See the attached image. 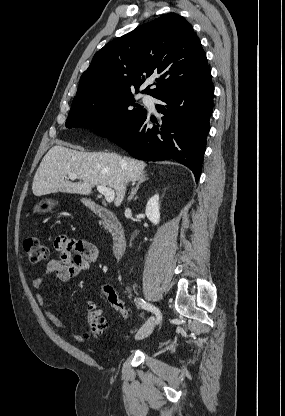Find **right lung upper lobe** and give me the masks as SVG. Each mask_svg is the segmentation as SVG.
Segmentation results:
<instances>
[{
  "mask_svg": "<svg viewBox=\"0 0 285 416\" xmlns=\"http://www.w3.org/2000/svg\"><path fill=\"white\" fill-rule=\"evenodd\" d=\"M206 54L192 26L167 13L114 39L93 57L82 74L70 111L91 104L133 96L148 78L159 75L147 93L157 99L210 76Z\"/></svg>",
  "mask_w": 285,
  "mask_h": 416,
  "instance_id": "cb5924a9",
  "label": "right lung upper lobe"
}]
</instances>
